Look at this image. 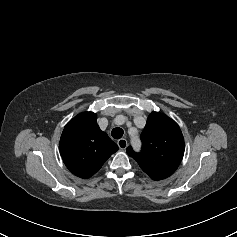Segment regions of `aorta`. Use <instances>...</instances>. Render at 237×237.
Masks as SVG:
<instances>
[{
	"label": "aorta",
	"mask_w": 237,
	"mask_h": 237,
	"mask_svg": "<svg viewBox=\"0 0 237 237\" xmlns=\"http://www.w3.org/2000/svg\"><path fill=\"white\" fill-rule=\"evenodd\" d=\"M131 144L132 147L135 151H139L141 148V140L138 136V134L136 133L135 135L131 136Z\"/></svg>",
	"instance_id": "aorta-1"
}]
</instances>
